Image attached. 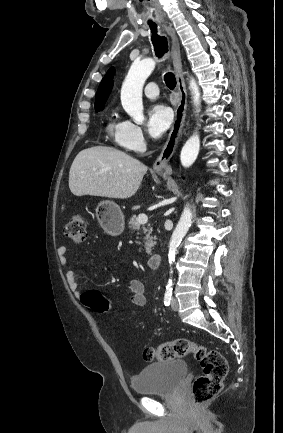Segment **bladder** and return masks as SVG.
Returning a JSON list of instances; mask_svg holds the SVG:
<instances>
[{"label":"bladder","mask_w":283,"mask_h":433,"mask_svg":"<svg viewBox=\"0 0 283 433\" xmlns=\"http://www.w3.org/2000/svg\"><path fill=\"white\" fill-rule=\"evenodd\" d=\"M187 364L179 360L152 363L134 376L131 387L135 393L175 392L186 377Z\"/></svg>","instance_id":"31cf9c89"}]
</instances>
